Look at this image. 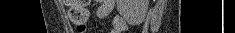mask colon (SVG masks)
Instances as JSON below:
<instances>
[{
	"label": "colon",
	"mask_w": 235,
	"mask_h": 33,
	"mask_svg": "<svg viewBox=\"0 0 235 33\" xmlns=\"http://www.w3.org/2000/svg\"><path fill=\"white\" fill-rule=\"evenodd\" d=\"M68 6V17L72 24L81 32L85 31L89 19L88 0H64Z\"/></svg>",
	"instance_id": "obj_1"
}]
</instances>
